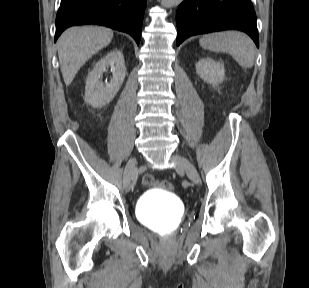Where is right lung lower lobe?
<instances>
[{
	"instance_id": "obj_1",
	"label": "right lung lower lobe",
	"mask_w": 309,
	"mask_h": 288,
	"mask_svg": "<svg viewBox=\"0 0 309 288\" xmlns=\"http://www.w3.org/2000/svg\"><path fill=\"white\" fill-rule=\"evenodd\" d=\"M147 0H61L56 16V41L68 27L104 25L130 34L140 42Z\"/></svg>"
}]
</instances>
